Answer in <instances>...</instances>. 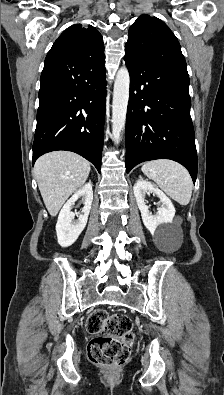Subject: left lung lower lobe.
I'll use <instances>...</instances> for the list:
<instances>
[{"mask_svg":"<svg viewBox=\"0 0 224 395\" xmlns=\"http://www.w3.org/2000/svg\"><path fill=\"white\" fill-rule=\"evenodd\" d=\"M130 73L126 117V171L154 159L185 166L195 183L197 153L190 116L189 77L125 52Z\"/></svg>","mask_w":224,"mask_h":395,"instance_id":"0a47b994","label":"left lung lower lobe"}]
</instances>
